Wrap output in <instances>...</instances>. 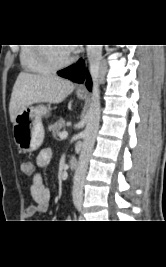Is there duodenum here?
<instances>
[{
    "instance_id": "1",
    "label": "duodenum",
    "mask_w": 166,
    "mask_h": 267,
    "mask_svg": "<svg viewBox=\"0 0 166 267\" xmlns=\"http://www.w3.org/2000/svg\"><path fill=\"white\" fill-rule=\"evenodd\" d=\"M77 161H76V159H74V158H71L70 160H69V168L71 169V170H75L76 168H77Z\"/></svg>"
}]
</instances>
